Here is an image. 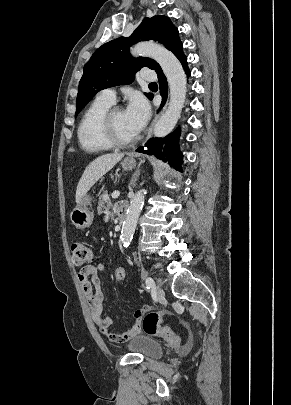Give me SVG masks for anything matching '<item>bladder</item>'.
Masks as SVG:
<instances>
[{"label":"bladder","instance_id":"bladder-1","mask_svg":"<svg viewBox=\"0 0 291 405\" xmlns=\"http://www.w3.org/2000/svg\"><path fill=\"white\" fill-rule=\"evenodd\" d=\"M127 348L149 359L160 358L164 353V348L158 340L144 334L133 337L128 342Z\"/></svg>","mask_w":291,"mask_h":405}]
</instances>
